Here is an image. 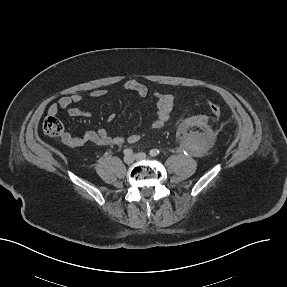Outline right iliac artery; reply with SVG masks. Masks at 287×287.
I'll return each mask as SVG.
<instances>
[{"label":"right iliac artery","instance_id":"82829eb1","mask_svg":"<svg viewBox=\"0 0 287 287\" xmlns=\"http://www.w3.org/2000/svg\"><path fill=\"white\" fill-rule=\"evenodd\" d=\"M123 153H124L125 155H132V154H133V150L127 148V149H125V150L123 151Z\"/></svg>","mask_w":287,"mask_h":287}]
</instances>
